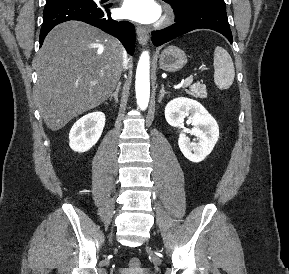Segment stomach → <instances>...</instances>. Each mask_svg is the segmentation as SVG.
<instances>
[{
	"label": "stomach",
	"mask_w": 289,
	"mask_h": 274,
	"mask_svg": "<svg viewBox=\"0 0 289 274\" xmlns=\"http://www.w3.org/2000/svg\"><path fill=\"white\" fill-rule=\"evenodd\" d=\"M187 63V56L183 50L176 46H169L159 56V66L167 72H176Z\"/></svg>",
	"instance_id": "stomach-1"
}]
</instances>
